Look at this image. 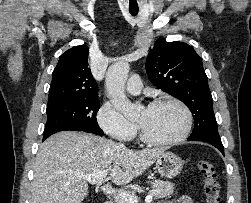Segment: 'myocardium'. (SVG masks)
<instances>
[{
	"label": "myocardium",
	"instance_id": "f54148a6",
	"mask_svg": "<svg viewBox=\"0 0 251 203\" xmlns=\"http://www.w3.org/2000/svg\"><path fill=\"white\" fill-rule=\"evenodd\" d=\"M164 103H173L175 105H177L182 112L184 113L185 116V125L184 128L182 130V132L171 139H167V140H158V139H154L151 138L146 131L144 130V128L142 127V125H140L139 123L137 124L138 130H139V134H140V138L141 140L148 144V145H152V146H172L175 144H178L182 141H184L190 134V131L192 129V125H193V115L192 112L190 110V108L180 99L173 97V96H166V97H161V98H157L153 101H151L147 108H151L154 106H158Z\"/></svg>",
	"mask_w": 251,
	"mask_h": 203
}]
</instances>
